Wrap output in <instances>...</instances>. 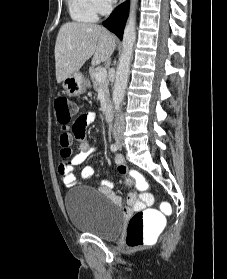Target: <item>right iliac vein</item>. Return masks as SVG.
<instances>
[{
    "label": "right iliac vein",
    "mask_w": 227,
    "mask_h": 279,
    "mask_svg": "<svg viewBox=\"0 0 227 279\" xmlns=\"http://www.w3.org/2000/svg\"><path fill=\"white\" fill-rule=\"evenodd\" d=\"M116 142H117V143H119V142H120V139H119V138H117V139H116Z\"/></svg>",
    "instance_id": "1"
}]
</instances>
